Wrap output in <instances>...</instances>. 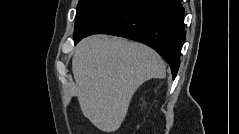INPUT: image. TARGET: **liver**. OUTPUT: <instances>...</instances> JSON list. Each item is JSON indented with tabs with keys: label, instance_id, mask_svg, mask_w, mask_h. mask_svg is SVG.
I'll return each mask as SVG.
<instances>
[{
	"label": "liver",
	"instance_id": "liver-1",
	"mask_svg": "<svg viewBox=\"0 0 239 134\" xmlns=\"http://www.w3.org/2000/svg\"><path fill=\"white\" fill-rule=\"evenodd\" d=\"M72 71L83 115L104 132L121 126L141 84L166 77L165 63L154 50L106 35L85 38L77 45Z\"/></svg>",
	"mask_w": 239,
	"mask_h": 134
}]
</instances>
